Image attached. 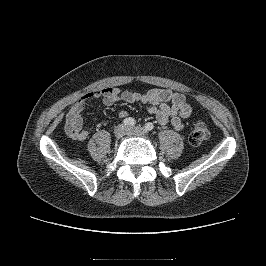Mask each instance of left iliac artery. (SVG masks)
<instances>
[{
  "mask_svg": "<svg viewBox=\"0 0 266 266\" xmlns=\"http://www.w3.org/2000/svg\"><path fill=\"white\" fill-rule=\"evenodd\" d=\"M153 128H154L153 123L148 122V123L145 124V129H146L147 131H151Z\"/></svg>",
  "mask_w": 266,
  "mask_h": 266,
  "instance_id": "left-iliac-artery-1",
  "label": "left iliac artery"
}]
</instances>
